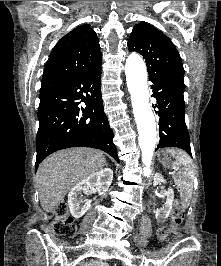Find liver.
I'll list each match as a JSON object with an SVG mask.
<instances>
[{
	"instance_id": "obj_1",
	"label": "liver",
	"mask_w": 221,
	"mask_h": 266,
	"mask_svg": "<svg viewBox=\"0 0 221 266\" xmlns=\"http://www.w3.org/2000/svg\"><path fill=\"white\" fill-rule=\"evenodd\" d=\"M103 152L79 147L61 150L39 166L36 184L44 211L53 212L69 189L105 166Z\"/></svg>"
}]
</instances>
